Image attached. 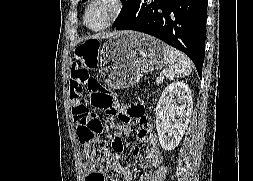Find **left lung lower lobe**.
I'll list each match as a JSON object with an SVG mask.
<instances>
[{
    "label": "left lung lower lobe",
    "mask_w": 253,
    "mask_h": 181,
    "mask_svg": "<svg viewBox=\"0 0 253 181\" xmlns=\"http://www.w3.org/2000/svg\"><path fill=\"white\" fill-rule=\"evenodd\" d=\"M207 0H136L115 27L155 36L188 55L199 76L205 55Z\"/></svg>",
    "instance_id": "obj_1"
}]
</instances>
